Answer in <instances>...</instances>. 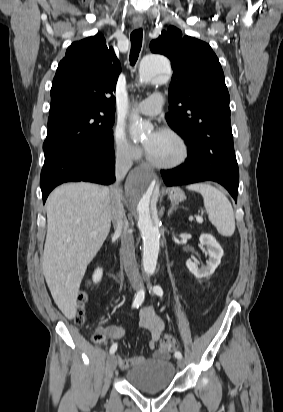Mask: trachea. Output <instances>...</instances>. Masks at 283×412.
Returning <instances> with one entry per match:
<instances>
[{"label":"trachea","mask_w":283,"mask_h":412,"mask_svg":"<svg viewBox=\"0 0 283 412\" xmlns=\"http://www.w3.org/2000/svg\"><path fill=\"white\" fill-rule=\"evenodd\" d=\"M142 37H143L142 29L134 30L131 33V36H130V38H131V50H130L129 59H130V63H131L132 66L135 65V63L138 59V56H139V53H140V50H141V46H142Z\"/></svg>","instance_id":"1"}]
</instances>
